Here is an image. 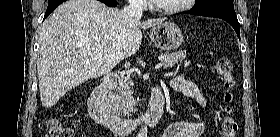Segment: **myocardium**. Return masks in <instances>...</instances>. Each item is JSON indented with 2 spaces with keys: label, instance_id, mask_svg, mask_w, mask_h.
<instances>
[{
  "label": "myocardium",
  "instance_id": "myocardium-1",
  "mask_svg": "<svg viewBox=\"0 0 280 137\" xmlns=\"http://www.w3.org/2000/svg\"><path fill=\"white\" fill-rule=\"evenodd\" d=\"M151 2V8L157 12L160 13H165V14H174L178 13L180 11H183L187 9L188 3L191 2L190 0H181V3L179 5L173 6V7H168V8H163L157 4H155L153 1Z\"/></svg>",
  "mask_w": 280,
  "mask_h": 137
}]
</instances>
